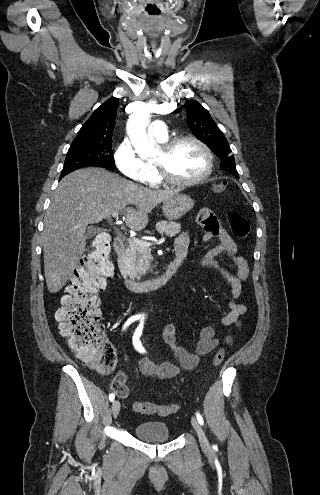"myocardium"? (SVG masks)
<instances>
[{
    "instance_id": "1",
    "label": "myocardium",
    "mask_w": 320,
    "mask_h": 495,
    "mask_svg": "<svg viewBox=\"0 0 320 495\" xmlns=\"http://www.w3.org/2000/svg\"><path fill=\"white\" fill-rule=\"evenodd\" d=\"M183 142H192V143L196 144L204 153L206 160H207V167H206V170L204 171L203 174H201L200 176H198L196 178H192V179H181V178H177V177L173 176L169 172L164 161H154V167H155L160 179L167 182V183L177 185V186H194V185L201 184L211 176L213 169H214L213 154H212L211 150L209 149V147L204 142H202L200 139H198L197 137L192 136V135L178 136V137H174V138L168 140L167 142L163 143V145L161 147V151H162L163 155L165 157H167L174 150V148L176 146H178L179 144H181Z\"/></svg>"
}]
</instances>
